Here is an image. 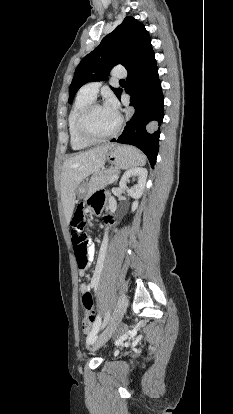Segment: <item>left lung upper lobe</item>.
Segmentation results:
<instances>
[{
	"label": "left lung upper lobe",
	"instance_id": "obj_1",
	"mask_svg": "<svg viewBox=\"0 0 233 414\" xmlns=\"http://www.w3.org/2000/svg\"><path fill=\"white\" fill-rule=\"evenodd\" d=\"M153 53L151 39L144 25L133 17H126L76 68L70 85L69 103H72L82 85L105 80L116 64L121 63L130 72ZM111 89L118 97L121 89Z\"/></svg>",
	"mask_w": 233,
	"mask_h": 414
}]
</instances>
